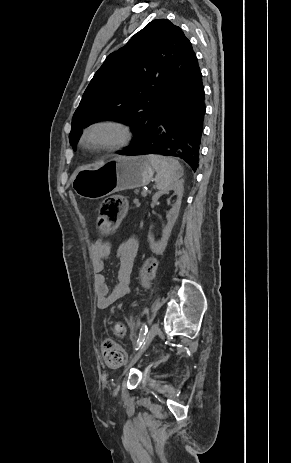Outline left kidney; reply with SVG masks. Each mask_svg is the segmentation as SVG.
<instances>
[{
	"label": "left kidney",
	"mask_w": 291,
	"mask_h": 463,
	"mask_svg": "<svg viewBox=\"0 0 291 463\" xmlns=\"http://www.w3.org/2000/svg\"><path fill=\"white\" fill-rule=\"evenodd\" d=\"M171 190H173L176 193L177 200L173 204L171 210L166 215L167 224L162 230V238H161V240L159 242H155L153 235L151 233H149V235H148V239H149V242H150V248H151L152 252L155 253V254H162L164 252L166 246H167V242H168V239L170 237L172 228H173V226H174V224H175V222L177 220L178 214H179V210H180V206H181V200H182L183 192H184L183 182L182 181H177L174 184H172L171 186H169L168 188H166L164 190H161V191H158L152 197L151 207L153 208L156 201L163 194H165L166 192L171 191Z\"/></svg>",
	"instance_id": "obj_1"
}]
</instances>
